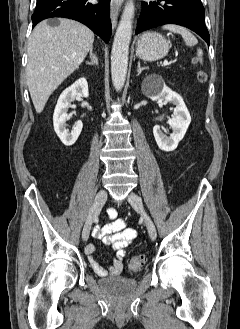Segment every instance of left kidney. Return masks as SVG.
<instances>
[{"label": "left kidney", "instance_id": "obj_1", "mask_svg": "<svg viewBox=\"0 0 240 329\" xmlns=\"http://www.w3.org/2000/svg\"><path fill=\"white\" fill-rule=\"evenodd\" d=\"M151 82L155 83V87L149 89L148 85ZM142 90L147 97L152 101H156L158 104H163L166 101L176 106L174 108V115L169 120V125L172 128V133L169 137L161 132L160 126L156 125L153 127V135L158 147L166 152L175 150L178 143L183 139L191 122L190 113L182 97L168 88L162 77L157 74H152L144 80Z\"/></svg>", "mask_w": 240, "mask_h": 329}]
</instances>
